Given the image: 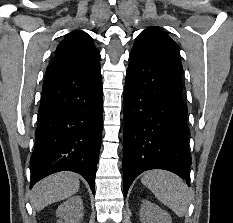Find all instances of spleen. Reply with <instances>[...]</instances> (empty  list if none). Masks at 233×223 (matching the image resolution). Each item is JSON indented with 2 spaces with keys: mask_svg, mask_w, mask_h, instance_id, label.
I'll return each instance as SVG.
<instances>
[{
  "mask_svg": "<svg viewBox=\"0 0 233 223\" xmlns=\"http://www.w3.org/2000/svg\"><path fill=\"white\" fill-rule=\"evenodd\" d=\"M142 183L151 189L155 197L182 217L188 209L189 189L175 173L163 169H151L141 177Z\"/></svg>",
  "mask_w": 233,
  "mask_h": 223,
  "instance_id": "1",
  "label": "spleen"
}]
</instances>
